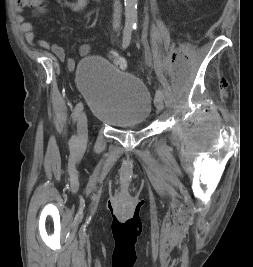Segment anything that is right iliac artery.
<instances>
[{
	"label": "right iliac artery",
	"instance_id": "obj_1",
	"mask_svg": "<svg viewBox=\"0 0 253 267\" xmlns=\"http://www.w3.org/2000/svg\"><path fill=\"white\" fill-rule=\"evenodd\" d=\"M130 39H131V28H128L124 31V35H123V41H122V48L125 49L129 43H130ZM83 109V103L82 102H79L73 112H72V118H73V121L75 122L78 118V116L80 115L81 111ZM77 136L76 135H73L70 139V145L71 147H75L76 146V143H77Z\"/></svg>",
	"mask_w": 253,
	"mask_h": 267
}]
</instances>
